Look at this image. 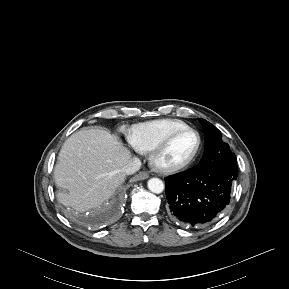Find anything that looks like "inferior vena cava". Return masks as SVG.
I'll return each instance as SVG.
<instances>
[{
	"mask_svg": "<svg viewBox=\"0 0 289 289\" xmlns=\"http://www.w3.org/2000/svg\"><path fill=\"white\" fill-rule=\"evenodd\" d=\"M141 167V162L137 158H132L129 163L124 167L123 172L126 175L133 174L137 172Z\"/></svg>",
	"mask_w": 289,
	"mask_h": 289,
	"instance_id": "inferior-vena-cava-1",
	"label": "inferior vena cava"
}]
</instances>
